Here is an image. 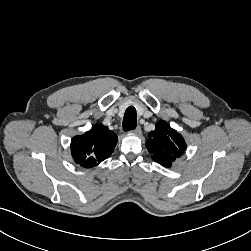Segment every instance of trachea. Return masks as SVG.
I'll return each instance as SVG.
<instances>
[{"label": "trachea", "mask_w": 251, "mask_h": 251, "mask_svg": "<svg viewBox=\"0 0 251 251\" xmlns=\"http://www.w3.org/2000/svg\"><path fill=\"white\" fill-rule=\"evenodd\" d=\"M137 125V114L136 109L133 106H129L124 115L123 119V130L130 131L136 128Z\"/></svg>", "instance_id": "trachea-1"}]
</instances>
